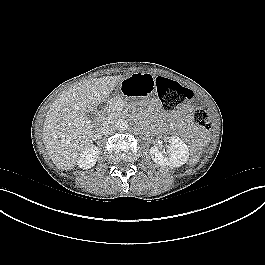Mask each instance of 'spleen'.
I'll return each mask as SVG.
<instances>
[{
	"label": "spleen",
	"instance_id": "obj_1",
	"mask_svg": "<svg viewBox=\"0 0 265 265\" xmlns=\"http://www.w3.org/2000/svg\"><path fill=\"white\" fill-rule=\"evenodd\" d=\"M199 158V155L192 156L190 160V165L197 163L199 161Z\"/></svg>",
	"mask_w": 265,
	"mask_h": 265
}]
</instances>
